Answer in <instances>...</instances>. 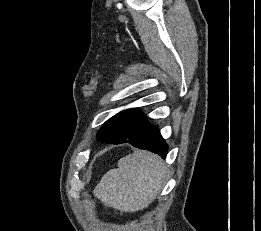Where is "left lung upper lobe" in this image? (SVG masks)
<instances>
[{
  "label": "left lung upper lobe",
  "instance_id": "obj_1",
  "mask_svg": "<svg viewBox=\"0 0 261 231\" xmlns=\"http://www.w3.org/2000/svg\"><path fill=\"white\" fill-rule=\"evenodd\" d=\"M153 125L136 109L124 110L104 123L97 134L100 142L111 143L123 138H144Z\"/></svg>",
  "mask_w": 261,
  "mask_h": 231
}]
</instances>
